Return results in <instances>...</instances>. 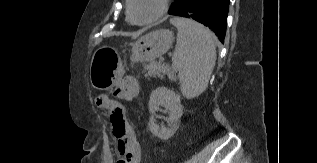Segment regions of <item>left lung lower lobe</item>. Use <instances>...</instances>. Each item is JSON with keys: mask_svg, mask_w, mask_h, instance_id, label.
Instances as JSON below:
<instances>
[{"mask_svg": "<svg viewBox=\"0 0 317 163\" xmlns=\"http://www.w3.org/2000/svg\"><path fill=\"white\" fill-rule=\"evenodd\" d=\"M229 0H180L170 15L192 18L212 29L224 43Z\"/></svg>", "mask_w": 317, "mask_h": 163, "instance_id": "left-lung-lower-lobe-1", "label": "left lung lower lobe"}]
</instances>
